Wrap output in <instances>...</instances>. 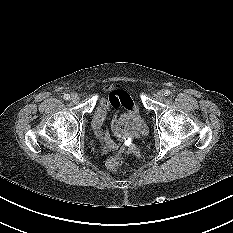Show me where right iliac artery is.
<instances>
[{"instance_id":"obj_1","label":"right iliac artery","mask_w":233,"mask_h":233,"mask_svg":"<svg viewBox=\"0 0 233 233\" xmlns=\"http://www.w3.org/2000/svg\"><path fill=\"white\" fill-rule=\"evenodd\" d=\"M70 98V95L69 94H64V99L65 100H68Z\"/></svg>"}]
</instances>
